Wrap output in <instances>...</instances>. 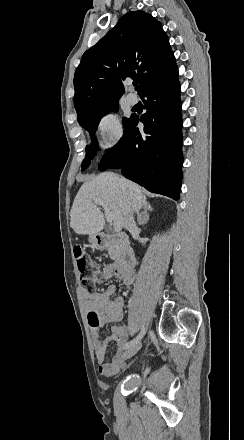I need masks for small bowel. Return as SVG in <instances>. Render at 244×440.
I'll return each instance as SVG.
<instances>
[{
  "mask_svg": "<svg viewBox=\"0 0 244 440\" xmlns=\"http://www.w3.org/2000/svg\"><path fill=\"white\" fill-rule=\"evenodd\" d=\"M117 277L121 284L131 287L135 281V269L128 270L120 262L109 264L103 268L101 278L110 279ZM116 292V286L111 285L102 292L91 293L85 288H81L80 294L84 300V308L91 325L92 344L99 372L105 377H111L118 374L126 367V362L122 358V347L127 346V338L130 333L123 325H113L111 335L104 340L98 337L97 328L104 324L116 323L124 317L125 302L123 297L117 296L112 299ZM96 313L99 316V325L94 326L91 322V314ZM111 342L116 343V351L111 362H105L107 347Z\"/></svg>",
  "mask_w": 244,
  "mask_h": 440,
  "instance_id": "c3829d8e",
  "label": "small bowel"
}]
</instances>
